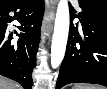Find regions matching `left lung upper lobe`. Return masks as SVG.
<instances>
[{"instance_id":"1","label":"left lung upper lobe","mask_w":107,"mask_h":89,"mask_svg":"<svg viewBox=\"0 0 107 89\" xmlns=\"http://www.w3.org/2000/svg\"><path fill=\"white\" fill-rule=\"evenodd\" d=\"M82 5L107 10V0H79Z\"/></svg>"}]
</instances>
